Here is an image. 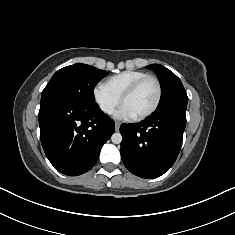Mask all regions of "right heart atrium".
<instances>
[{"label": "right heart atrium", "mask_w": 235, "mask_h": 235, "mask_svg": "<svg viewBox=\"0 0 235 235\" xmlns=\"http://www.w3.org/2000/svg\"><path fill=\"white\" fill-rule=\"evenodd\" d=\"M93 97L100 110L111 115L120 104V97L115 95L105 83H98L93 88Z\"/></svg>", "instance_id": "1"}]
</instances>
